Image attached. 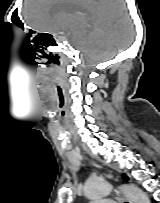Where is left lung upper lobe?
Instances as JSON below:
<instances>
[{
	"mask_svg": "<svg viewBox=\"0 0 160 203\" xmlns=\"http://www.w3.org/2000/svg\"><path fill=\"white\" fill-rule=\"evenodd\" d=\"M123 178H124L125 180H128V177H127L126 175H123Z\"/></svg>",
	"mask_w": 160,
	"mask_h": 203,
	"instance_id": "5c2ea615",
	"label": "left lung upper lobe"
}]
</instances>
